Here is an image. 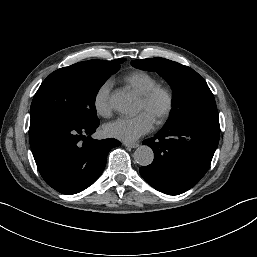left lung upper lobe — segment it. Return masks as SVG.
Instances as JSON below:
<instances>
[{"label": "left lung upper lobe", "instance_id": "left-lung-upper-lobe-1", "mask_svg": "<svg viewBox=\"0 0 257 257\" xmlns=\"http://www.w3.org/2000/svg\"><path fill=\"white\" fill-rule=\"evenodd\" d=\"M131 65L157 72L172 87L173 108L165 126L202 110L216 107L214 96L205 80L188 66L164 58L133 60Z\"/></svg>", "mask_w": 257, "mask_h": 257}]
</instances>
